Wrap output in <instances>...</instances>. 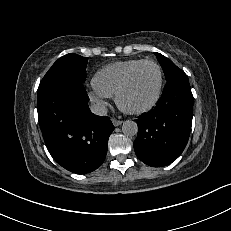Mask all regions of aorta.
Instances as JSON below:
<instances>
[{
  "mask_svg": "<svg viewBox=\"0 0 231 231\" xmlns=\"http://www.w3.org/2000/svg\"><path fill=\"white\" fill-rule=\"evenodd\" d=\"M122 132L127 136H135L138 132V125L136 122L126 120L122 125Z\"/></svg>",
  "mask_w": 231,
  "mask_h": 231,
  "instance_id": "aorta-1",
  "label": "aorta"
}]
</instances>
